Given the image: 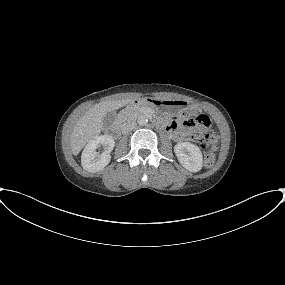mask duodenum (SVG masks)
Segmentation results:
<instances>
[{
  "mask_svg": "<svg viewBox=\"0 0 285 285\" xmlns=\"http://www.w3.org/2000/svg\"><path fill=\"white\" fill-rule=\"evenodd\" d=\"M144 104H145V100L143 99H135L134 101L130 103V105H134V106H142ZM163 125L164 127H167L166 122H164ZM121 131H122V127L119 124H114L110 129V132L114 135L120 134Z\"/></svg>",
  "mask_w": 285,
  "mask_h": 285,
  "instance_id": "410a0bca",
  "label": "duodenum"
}]
</instances>
